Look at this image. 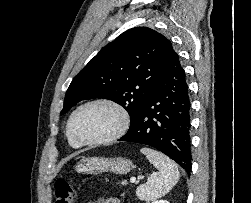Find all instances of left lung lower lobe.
Segmentation results:
<instances>
[{
  "mask_svg": "<svg viewBox=\"0 0 251 203\" xmlns=\"http://www.w3.org/2000/svg\"><path fill=\"white\" fill-rule=\"evenodd\" d=\"M190 98L185 71L174 51L135 123L120 141L152 146L191 171Z\"/></svg>",
  "mask_w": 251,
  "mask_h": 203,
  "instance_id": "0a47b994",
  "label": "left lung lower lobe"
}]
</instances>
